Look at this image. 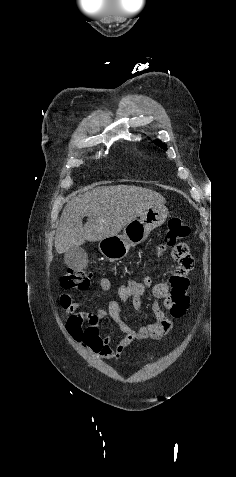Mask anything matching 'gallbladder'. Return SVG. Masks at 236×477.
I'll return each instance as SVG.
<instances>
[{
  "mask_svg": "<svg viewBox=\"0 0 236 477\" xmlns=\"http://www.w3.org/2000/svg\"><path fill=\"white\" fill-rule=\"evenodd\" d=\"M88 255L81 247H73L64 255L67 266L73 269H82L87 263Z\"/></svg>",
  "mask_w": 236,
  "mask_h": 477,
  "instance_id": "1",
  "label": "gallbladder"
}]
</instances>
